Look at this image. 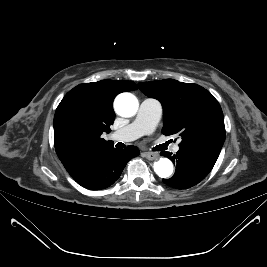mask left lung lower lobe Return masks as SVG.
Returning a JSON list of instances; mask_svg holds the SVG:
<instances>
[{
	"label": "left lung lower lobe",
	"instance_id": "left-lung-lower-lobe-1",
	"mask_svg": "<svg viewBox=\"0 0 267 267\" xmlns=\"http://www.w3.org/2000/svg\"><path fill=\"white\" fill-rule=\"evenodd\" d=\"M161 155L176 164L175 174L170 179H163V182L176 189H187L208 175L219 154L206 150L179 148L175 155L169 152H162Z\"/></svg>",
	"mask_w": 267,
	"mask_h": 267
}]
</instances>
